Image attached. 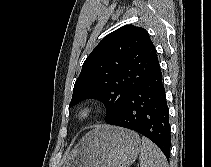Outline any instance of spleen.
<instances>
[{"label": "spleen", "mask_w": 211, "mask_h": 167, "mask_svg": "<svg viewBox=\"0 0 211 167\" xmlns=\"http://www.w3.org/2000/svg\"><path fill=\"white\" fill-rule=\"evenodd\" d=\"M139 160L140 167H168L164 154L146 137H142V149Z\"/></svg>", "instance_id": "1"}]
</instances>
